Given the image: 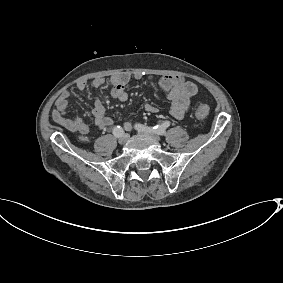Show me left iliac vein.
Segmentation results:
<instances>
[{
    "label": "left iliac vein",
    "instance_id": "1",
    "mask_svg": "<svg viewBox=\"0 0 283 283\" xmlns=\"http://www.w3.org/2000/svg\"><path fill=\"white\" fill-rule=\"evenodd\" d=\"M137 129V128H136ZM139 133L143 134V135H146V136H149L151 138H153L154 140L156 141H160V137L156 134H153V133H150V132H146V131H142V130H139L137 129Z\"/></svg>",
    "mask_w": 283,
    "mask_h": 283
}]
</instances>
